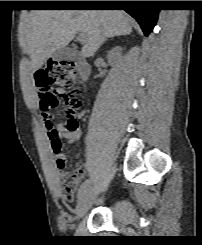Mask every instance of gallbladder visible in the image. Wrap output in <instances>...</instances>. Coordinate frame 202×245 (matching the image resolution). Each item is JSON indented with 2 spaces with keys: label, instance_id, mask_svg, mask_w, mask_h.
Here are the masks:
<instances>
[{
  "label": "gallbladder",
  "instance_id": "1",
  "mask_svg": "<svg viewBox=\"0 0 202 245\" xmlns=\"http://www.w3.org/2000/svg\"><path fill=\"white\" fill-rule=\"evenodd\" d=\"M79 56V53L70 47H64L58 49L56 52L53 53L52 57L54 60L63 61V60H75Z\"/></svg>",
  "mask_w": 202,
  "mask_h": 245
}]
</instances>
